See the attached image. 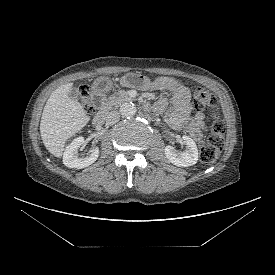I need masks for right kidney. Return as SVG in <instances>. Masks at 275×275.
Returning a JSON list of instances; mask_svg holds the SVG:
<instances>
[{
	"label": "right kidney",
	"instance_id": "obj_1",
	"mask_svg": "<svg viewBox=\"0 0 275 275\" xmlns=\"http://www.w3.org/2000/svg\"><path fill=\"white\" fill-rule=\"evenodd\" d=\"M84 144V138L82 136L75 138L71 144H69L63 154V163L68 168L82 169L93 164L99 154V149L96 147L90 151V154L86 157L78 158V149Z\"/></svg>",
	"mask_w": 275,
	"mask_h": 275
}]
</instances>
